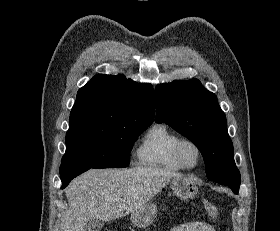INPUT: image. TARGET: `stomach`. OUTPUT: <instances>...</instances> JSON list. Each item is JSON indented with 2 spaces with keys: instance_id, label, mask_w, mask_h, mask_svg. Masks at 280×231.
<instances>
[{
  "instance_id": "stomach-1",
  "label": "stomach",
  "mask_w": 280,
  "mask_h": 231,
  "mask_svg": "<svg viewBox=\"0 0 280 231\" xmlns=\"http://www.w3.org/2000/svg\"><path fill=\"white\" fill-rule=\"evenodd\" d=\"M198 179L191 175H179L170 181L171 189L180 199H192L198 191ZM157 213L155 203H145L141 209H135L131 213V221L137 227H148L153 223Z\"/></svg>"
}]
</instances>
